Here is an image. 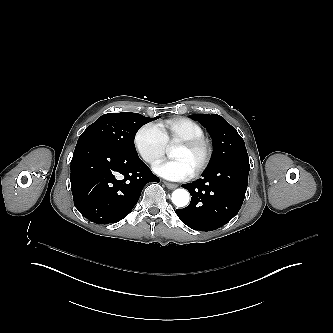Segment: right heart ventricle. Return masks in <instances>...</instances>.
I'll list each match as a JSON object with an SVG mask.
<instances>
[{"label": "right heart ventricle", "mask_w": 333, "mask_h": 333, "mask_svg": "<svg viewBox=\"0 0 333 333\" xmlns=\"http://www.w3.org/2000/svg\"><path fill=\"white\" fill-rule=\"evenodd\" d=\"M159 129L164 135L167 144L174 141L180 142L204 137L201 126L184 117H175L167 120L159 125Z\"/></svg>", "instance_id": "obj_1"}]
</instances>
